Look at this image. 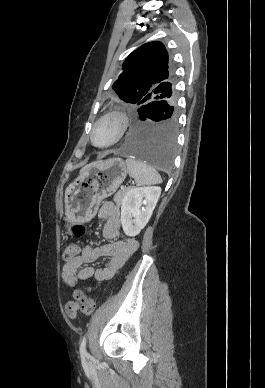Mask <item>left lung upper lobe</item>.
<instances>
[{"label":"left lung upper lobe","instance_id":"5c2ea615","mask_svg":"<svg viewBox=\"0 0 265 388\" xmlns=\"http://www.w3.org/2000/svg\"><path fill=\"white\" fill-rule=\"evenodd\" d=\"M112 88L123 101L134 104L132 110L155 101L174 100V75L165 46L149 42L133 51Z\"/></svg>","mask_w":265,"mask_h":388}]
</instances>
